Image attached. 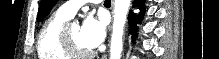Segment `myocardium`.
<instances>
[{
	"label": "myocardium",
	"instance_id": "1",
	"mask_svg": "<svg viewBox=\"0 0 219 59\" xmlns=\"http://www.w3.org/2000/svg\"><path fill=\"white\" fill-rule=\"evenodd\" d=\"M61 43L63 50L68 54L70 58L85 59L94 55L92 50H80L78 49L68 33V25H64L61 32Z\"/></svg>",
	"mask_w": 219,
	"mask_h": 59
}]
</instances>
